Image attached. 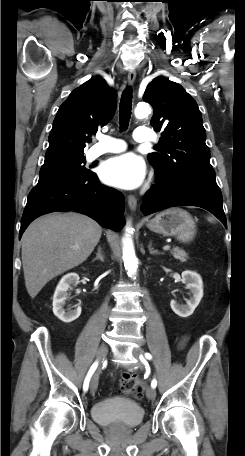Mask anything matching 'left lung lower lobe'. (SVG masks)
Masks as SVG:
<instances>
[{
	"label": "left lung lower lobe",
	"instance_id": "0a47b994",
	"mask_svg": "<svg viewBox=\"0 0 245 456\" xmlns=\"http://www.w3.org/2000/svg\"><path fill=\"white\" fill-rule=\"evenodd\" d=\"M156 175V185L143 198L141 210L144 215L174 206H197L210 211L226 226L222 194L216 181Z\"/></svg>",
	"mask_w": 245,
	"mask_h": 456
}]
</instances>
